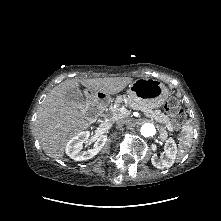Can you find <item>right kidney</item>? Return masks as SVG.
<instances>
[{"instance_id":"right-kidney-1","label":"right kidney","mask_w":221,"mask_h":221,"mask_svg":"<svg viewBox=\"0 0 221 221\" xmlns=\"http://www.w3.org/2000/svg\"><path fill=\"white\" fill-rule=\"evenodd\" d=\"M90 133L83 131L72 137L66 145V154L73 160L83 161L89 160L97 155L99 151L105 146L107 142V136H100L94 145L93 149L82 151L83 144L89 142Z\"/></svg>"}]
</instances>
